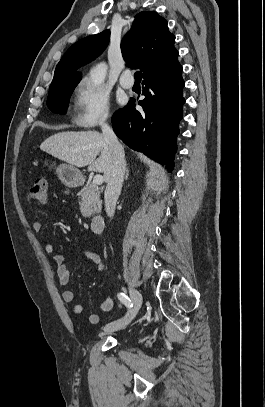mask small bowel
<instances>
[{
    "label": "small bowel",
    "mask_w": 265,
    "mask_h": 407,
    "mask_svg": "<svg viewBox=\"0 0 265 407\" xmlns=\"http://www.w3.org/2000/svg\"><path fill=\"white\" fill-rule=\"evenodd\" d=\"M32 229L34 232L39 233L43 229V224L40 221H34L32 224ZM44 250L46 253L52 256L54 263L56 264V270L58 279L61 285L67 286L70 283V271L64 262V258L55 252L54 246L51 243H45ZM84 255L91 259L96 265L99 271L103 269V262L100 256L91 251H85ZM76 298V293L73 289H66L63 292V299L66 303H73ZM113 307V300L110 296H107L100 304V309L103 312H108ZM84 307L80 303H75L73 305L72 311L74 314L79 315L83 312ZM88 322L90 324H97L99 322V316L97 314H90L88 316Z\"/></svg>",
    "instance_id": "obj_1"
}]
</instances>
